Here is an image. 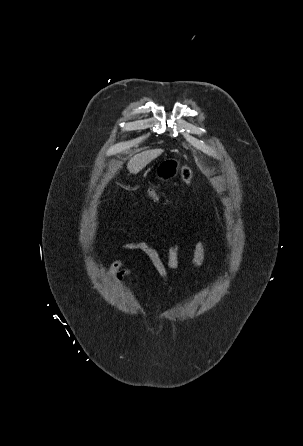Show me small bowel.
I'll return each mask as SVG.
<instances>
[{
	"label": "small bowel",
	"instance_id": "c3829d8e",
	"mask_svg": "<svg viewBox=\"0 0 303 446\" xmlns=\"http://www.w3.org/2000/svg\"><path fill=\"white\" fill-rule=\"evenodd\" d=\"M122 249L127 250H139L143 252L150 260L153 268L159 275L163 286L168 289L170 285V273L177 272L178 270V254L180 251L179 244H173L168 252L167 262H163L157 251L147 243L143 241H130L121 244ZM206 242L199 241L193 251L192 268H197L206 253ZM108 277L112 279L114 283H120L123 280H128L130 287L133 288L131 280V271L126 267L123 260H115L111 263L108 269Z\"/></svg>",
	"mask_w": 303,
	"mask_h": 446
}]
</instances>
